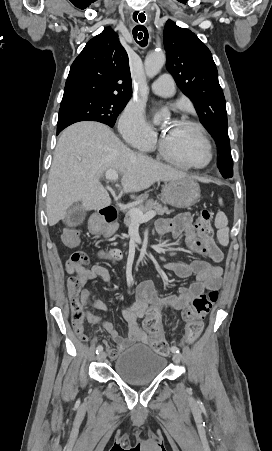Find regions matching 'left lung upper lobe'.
I'll return each instance as SVG.
<instances>
[{"mask_svg": "<svg viewBox=\"0 0 272 451\" xmlns=\"http://www.w3.org/2000/svg\"><path fill=\"white\" fill-rule=\"evenodd\" d=\"M167 70L194 103L201 123L218 145V168L224 178L233 176L225 98L210 50L190 30L168 20L164 28Z\"/></svg>", "mask_w": 272, "mask_h": 451, "instance_id": "obj_1", "label": "left lung upper lobe"}]
</instances>
